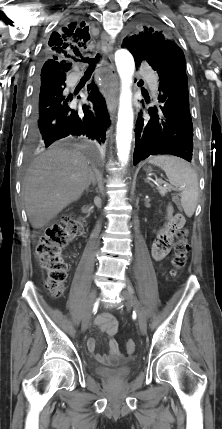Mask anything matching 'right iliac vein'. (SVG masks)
Wrapping results in <instances>:
<instances>
[{"mask_svg":"<svg viewBox=\"0 0 222 429\" xmlns=\"http://www.w3.org/2000/svg\"><path fill=\"white\" fill-rule=\"evenodd\" d=\"M97 297V293L96 290H92L87 298V302H86V307H85V311L82 317V331L85 332L89 326V321H90V317H91V312H92V308L94 306L95 300Z\"/></svg>","mask_w":222,"mask_h":429,"instance_id":"right-iliac-vein-1","label":"right iliac vein"}]
</instances>
